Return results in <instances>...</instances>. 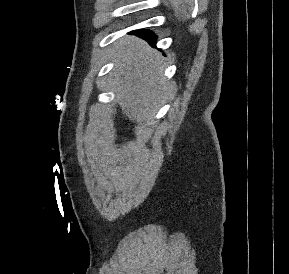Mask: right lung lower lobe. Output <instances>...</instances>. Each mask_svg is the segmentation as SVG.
<instances>
[{
    "mask_svg": "<svg viewBox=\"0 0 289 274\" xmlns=\"http://www.w3.org/2000/svg\"><path fill=\"white\" fill-rule=\"evenodd\" d=\"M134 34L143 37L144 39L148 40L150 43L155 44L156 36L149 30H135Z\"/></svg>",
    "mask_w": 289,
    "mask_h": 274,
    "instance_id": "98d812e1",
    "label": "right lung lower lobe"
}]
</instances>
